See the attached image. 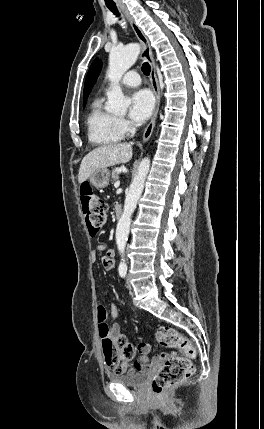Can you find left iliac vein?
Masks as SVG:
<instances>
[{
  "label": "left iliac vein",
  "instance_id": "4c4485c4",
  "mask_svg": "<svg viewBox=\"0 0 264 429\" xmlns=\"http://www.w3.org/2000/svg\"><path fill=\"white\" fill-rule=\"evenodd\" d=\"M126 286H127V288L129 289V291H130V292H132V291H133V289H132V285H131V283H130V279H129V277H127Z\"/></svg>",
  "mask_w": 264,
  "mask_h": 429
}]
</instances>
